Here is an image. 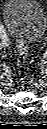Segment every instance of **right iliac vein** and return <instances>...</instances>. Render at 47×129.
Returning a JSON list of instances; mask_svg holds the SVG:
<instances>
[{"mask_svg":"<svg viewBox=\"0 0 47 129\" xmlns=\"http://www.w3.org/2000/svg\"><path fill=\"white\" fill-rule=\"evenodd\" d=\"M2 46H3V47L9 46V41L5 42L4 44L2 43Z\"/></svg>","mask_w":47,"mask_h":129,"instance_id":"obj_1","label":"right iliac vein"}]
</instances>
